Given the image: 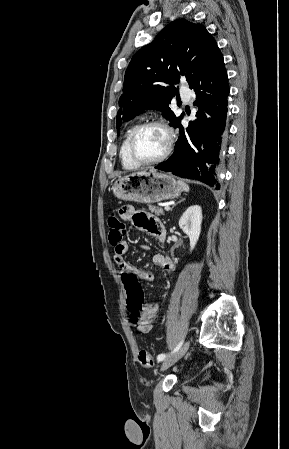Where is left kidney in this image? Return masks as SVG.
I'll list each match as a JSON object with an SVG mask.
<instances>
[{"label": "left kidney", "instance_id": "obj_1", "mask_svg": "<svg viewBox=\"0 0 289 449\" xmlns=\"http://www.w3.org/2000/svg\"><path fill=\"white\" fill-rule=\"evenodd\" d=\"M202 223V209L198 205L190 206L179 220V227L190 239L192 251L199 239Z\"/></svg>", "mask_w": 289, "mask_h": 449}]
</instances>
